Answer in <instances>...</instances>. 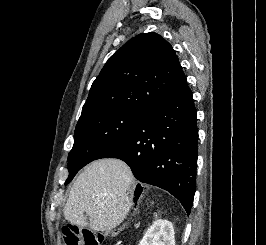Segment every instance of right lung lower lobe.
Masks as SVG:
<instances>
[{
  "label": "right lung lower lobe",
  "instance_id": "1",
  "mask_svg": "<svg viewBox=\"0 0 266 245\" xmlns=\"http://www.w3.org/2000/svg\"><path fill=\"white\" fill-rule=\"evenodd\" d=\"M196 114L186 83L149 108L126 137L97 159L125 161L136 179L168 191L190 214L196 190Z\"/></svg>",
  "mask_w": 266,
  "mask_h": 245
}]
</instances>
